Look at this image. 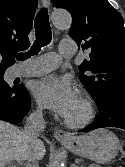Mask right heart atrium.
<instances>
[{
  "instance_id": "right-heart-atrium-1",
  "label": "right heart atrium",
  "mask_w": 125,
  "mask_h": 167,
  "mask_svg": "<svg viewBox=\"0 0 125 167\" xmlns=\"http://www.w3.org/2000/svg\"><path fill=\"white\" fill-rule=\"evenodd\" d=\"M35 115L36 116H41L42 115V110H41V108H37L36 110H35Z\"/></svg>"
}]
</instances>
